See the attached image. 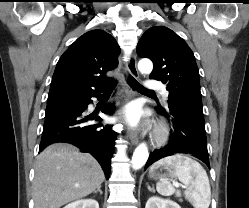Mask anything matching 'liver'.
Segmentation results:
<instances>
[{"mask_svg": "<svg viewBox=\"0 0 249 208\" xmlns=\"http://www.w3.org/2000/svg\"><path fill=\"white\" fill-rule=\"evenodd\" d=\"M104 172L88 153L68 143L48 146L37 157L33 181L35 208H60L94 192Z\"/></svg>", "mask_w": 249, "mask_h": 208, "instance_id": "obj_1", "label": "liver"}]
</instances>
